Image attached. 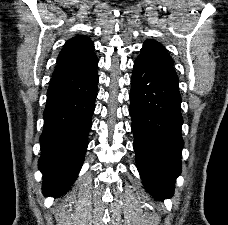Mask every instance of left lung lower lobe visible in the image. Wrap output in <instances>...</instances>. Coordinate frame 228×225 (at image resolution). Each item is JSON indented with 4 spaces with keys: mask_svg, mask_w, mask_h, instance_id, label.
I'll use <instances>...</instances> for the list:
<instances>
[{
    "mask_svg": "<svg viewBox=\"0 0 228 225\" xmlns=\"http://www.w3.org/2000/svg\"><path fill=\"white\" fill-rule=\"evenodd\" d=\"M130 115L143 184L156 198H170L181 173L184 144L181 96L172 66L138 56L131 77Z\"/></svg>",
    "mask_w": 228,
    "mask_h": 225,
    "instance_id": "obj_1",
    "label": "left lung lower lobe"
}]
</instances>
